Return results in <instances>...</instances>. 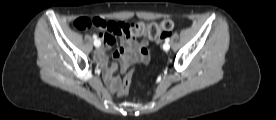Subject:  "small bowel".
Returning a JSON list of instances; mask_svg holds the SVG:
<instances>
[{
    "label": "small bowel",
    "instance_id": "obj_1",
    "mask_svg": "<svg viewBox=\"0 0 276 120\" xmlns=\"http://www.w3.org/2000/svg\"><path fill=\"white\" fill-rule=\"evenodd\" d=\"M124 23L107 22V26L103 29L105 33H100L98 38L103 43V48L96 52L97 62L105 67V81L112 90H115L118 79L114 77V73L117 70L115 64H108L107 58L104 53V49L112 47L119 38L120 46L115 52L116 59L120 63V71L126 72L130 63L140 58L143 62H148V43L147 41L138 42L135 38H128L124 35L122 29Z\"/></svg>",
    "mask_w": 276,
    "mask_h": 120
}]
</instances>
